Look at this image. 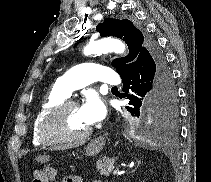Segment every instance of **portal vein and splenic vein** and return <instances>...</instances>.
Here are the masks:
<instances>
[{"label": "portal vein and splenic vein", "mask_w": 211, "mask_h": 182, "mask_svg": "<svg viewBox=\"0 0 211 182\" xmlns=\"http://www.w3.org/2000/svg\"><path fill=\"white\" fill-rule=\"evenodd\" d=\"M114 174H119V171H118V170H115V171H114Z\"/></svg>", "instance_id": "1"}]
</instances>
